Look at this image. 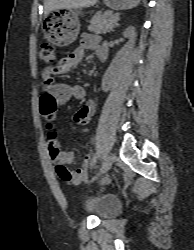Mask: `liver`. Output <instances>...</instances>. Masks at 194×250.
<instances>
[{"instance_id":"obj_1","label":"liver","mask_w":194,"mask_h":250,"mask_svg":"<svg viewBox=\"0 0 194 250\" xmlns=\"http://www.w3.org/2000/svg\"><path fill=\"white\" fill-rule=\"evenodd\" d=\"M98 0H45L44 14L45 16L53 9H77L90 7L97 3Z\"/></svg>"}]
</instances>
